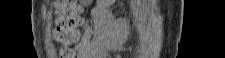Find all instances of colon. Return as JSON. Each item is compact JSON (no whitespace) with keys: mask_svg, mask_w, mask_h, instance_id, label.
Returning a JSON list of instances; mask_svg holds the SVG:
<instances>
[{"mask_svg":"<svg viewBox=\"0 0 225 58\" xmlns=\"http://www.w3.org/2000/svg\"><path fill=\"white\" fill-rule=\"evenodd\" d=\"M81 13L82 6L77 1H57V21L54 38L63 45L60 53L62 58L73 57V52L69 46L78 38L77 27L82 21Z\"/></svg>","mask_w":225,"mask_h":58,"instance_id":"5ec220e1","label":"colon"}]
</instances>
